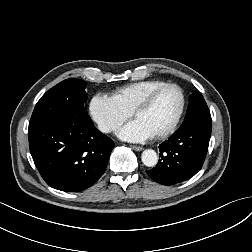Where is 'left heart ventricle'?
I'll list each match as a JSON object with an SVG mask.
<instances>
[{
  "label": "left heart ventricle",
  "mask_w": 252,
  "mask_h": 252,
  "mask_svg": "<svg viewBox=\"0 0 252 252\" xmlns=\"http://www.w3.org/2000/svg\"><path fill=\"white\" fill-rule=\"evenodd\" d=\"M179 106V92L175 88H167L155 97L148 108L138 112L135 119L142 121L156 135L171 125Z\"/></svg>",
  "instance_id": "1"
}]
</instances>
